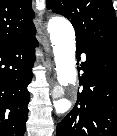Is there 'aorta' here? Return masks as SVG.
I'll return each instance as SVG.
<instances>
[{"label": "aorta", "mask_w": 117, "mask_h": 136, "mask_svg": "<svg viewBox=\"0 0 117 136\" xmlns=\"http://www.w3.org/2000/svg\"><path fill=\"white\" fill-rule=\"evenodd\" d=\"M48 32L52 43L56 74L63 87L75 86L77 71L75 68V32L71 23L62 17H54L48 23ZM53 98L56 105L63 109L69 104L62 88L55 87Z\"/></svg>", "instance_id": "762f6f07"}]
</instances>
